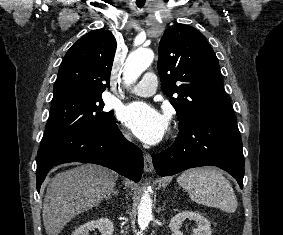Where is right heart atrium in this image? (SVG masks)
I'll return each instance as SVG.
<instances>
[{
  "instance_id": "d8ad5b80",
  "label": "right heart atrium",
  "mask_w": 283,
  "mask_h": 235,
  "mask_svg": "<svg viewBox=\"0 0 283 235\" xmlns=\"http://www.w3.org/2000/svg\"><path fill=\"white\" fill-rule=\"evenodd\" d=\"M123 135H124V137H125L127 140H130V139H131V134H130L127 130H124V131H123Z\"/></svg>"
}]
</instances>
